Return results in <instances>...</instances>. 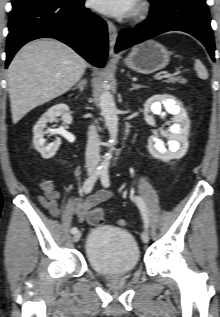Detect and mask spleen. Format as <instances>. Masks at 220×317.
Wrapping results in <instances>:
<instances>
[{
	"label": "spleen",
	"mask_w": 220,
	"mask_h": 317,
	"mask_svg": "<svg viewBox=\"0 0 220 317\" xmlns=\"http://www.w3.org/2000/svg\"><path fill=\"white\" fill-rule=\"evenodd\" d=\"M195 70L197 71L198 77L201 79H207L208 73L206 71L205 66L202 64V62L199 59L195 60Z\"/></svg>",
	"instance_id": "1"
}]
</instances>
